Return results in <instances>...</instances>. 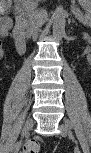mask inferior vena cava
Masks as SVG:
<instances>
[{
  "instance_id": "inferior-vena-cava-1",
  "label": "inferior vena cava",
  "mask_w": 91,
  "mask_h": 153,
  "mask_svg": "<svg viewBox=\"0 0 91 153\" xmlns=\"http://www.w3.org/2000/svg\"><path fill=\"white\" fill-rule=\"evenodd\" d=\"M46 14L45 9L34 11L30 14L28 20V33L33 37V39L37 38L38 27L43 24Z\"/></svg>"
}]
</instances>
